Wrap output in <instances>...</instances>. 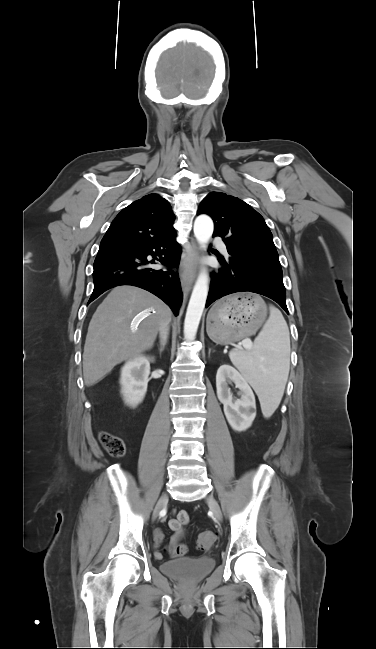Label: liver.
<instances>
[{"mask_svg":"<svg viewBox=\"0 0 376 649\" xmlns=\"http://www.w3.org/2000/svg\"><path fill=\"white\" fill-rule=\"evenodd\" d=\"M170 319V308L148 291L132 285L112 289L89 323L83 353L84 384L93 386L123 360L150 349Z\"/></svg>","mask_w":376,"mask_h":649,"instance_id":"liver-1","label":"liver"}]
</instances>
